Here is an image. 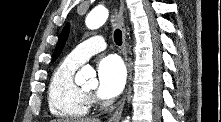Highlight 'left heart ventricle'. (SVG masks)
I'll return each mask as SVG.
<instances>
[{"mask_svg": "<svg viewBox=\"0 0 221 122\" xmlns=\"http://www.w3.org/2000/svg\"><path fill=\"white\" fill-rule=\"evenodd\" d=\"M84 89L87 91H91L93 88L91 86H86V87H84Z\"/></svg>", "mask_w": 221, "mask_h": 122, "instance_id": "left-heart-ventricle-1", "label": "left heart ventricle"}]
</instances>
